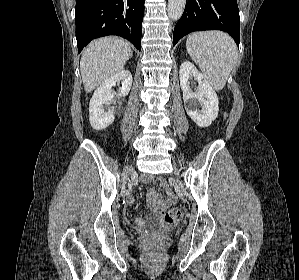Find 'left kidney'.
I'll return each instance as SVG.
<instances>
[{
    "instance_id": "obj_1",
    "label": "left kidney",
    "mask_w": 299,
    "mask_h": 280,
    "mask_svg": "<svg viewBox=\"0 0 299 280\" xmlns=\"http://www.w3.org/2000/svg\"><path fill=\"white\" fill-rule=\"evenodd\" d=\"M180 86L183 91V100L187 114L199 127H208L216 119L219 111V101L216 92L205 77L189 61L181 64L179 70ZM198 82L196 92H192L189 79ZM196 101L202 105V110L196 108Z\"/></svg>"
}]
</instances>
